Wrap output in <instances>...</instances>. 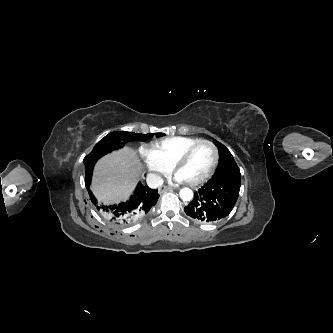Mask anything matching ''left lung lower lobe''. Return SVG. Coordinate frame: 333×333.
Listing matches in <instances>:
<instances>
[{
	"label": "left lung lower lobe",
	"mask_w": 333,
	"mask_h": 333,
	"mask_svg": "<svg viewBox=\"0 0 333 333\" xmlns=\"http://www.w3.org/2000/svg\"><path fill=\"white\" fill-rule=\"evenodd\" d=\"M241 174L238 167L214 176L195 193L185 213L203 223L217 222L230 214L239 196Z\"/></svg>",
	"instance_id": "0a47b994"
}]
</instances>
